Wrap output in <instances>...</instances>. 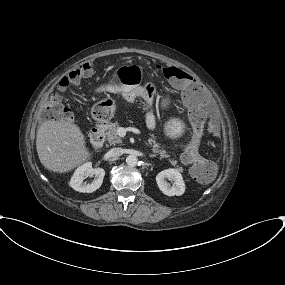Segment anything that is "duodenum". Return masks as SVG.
<instances>
[{
	"mask_svg": "<svg viewBox=\"0 0 285 285\" xmlns=\"http://www.w3.org/2000/svg\"><path fill=\"white\" fill-rule=\"evenodd\" d=\"M105 138V127L96 126L91 129L90 140L94 147H99Z\"/></svg>",
	"mask_w": 285,
	"mask_h": 285,
	"instance_id": "duodenum-1",
	"label": "duodenum"
}]
</instances>
